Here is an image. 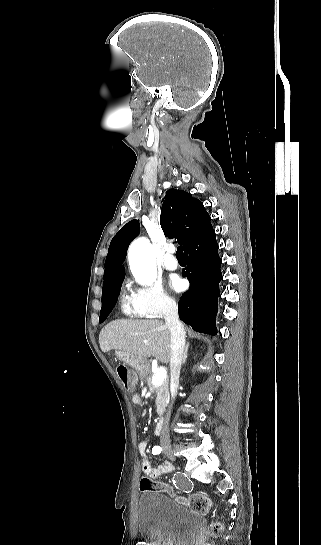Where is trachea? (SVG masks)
<instances>
[{"label":"trachea","instance_id":"1","mask_svg":"<svg viewBox=\"0 0 321 545\" xmlns=\"http://www.w3.org/2000/svg\"><path fill=\"white\" fill-rule=\"evenodd\" d=\"M176 257H177V258H182V259L185 258V257H184V252H183V248H182L181 245L177 248Z\"/></svg>","mask_w":321,"mask_h":545}]
</instances>
